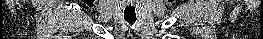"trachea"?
I'll list each match as a JSON object with an SVG mask.
<instances>
[{"label": "trachea", "mask_w": 263, "mask_h": 39, "mask_svg": "<svg viewBox=\"0 0 263 39\" xmlns=\"http://www.w3.org/2000/svg\"><path fill=\"white\" fill-rule=\"evenodd\" d=\"M126 22H128L130 25L134 24L136 22V18H124Z\"/></svg>", "instance_id": "1"}]
</instances>
